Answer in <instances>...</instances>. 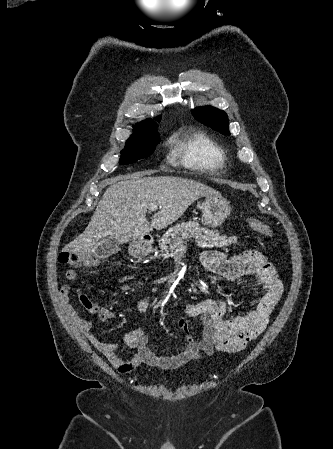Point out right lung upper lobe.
I'll list each match as a JSON object with an SVG mask.
<instances>
[{
    "label": "right lung upper lobe",
    "mask_w": 333,
    "mask_h": 449,
    "mask_svg": "<svg viewBox=\"0 0 333 449\" xmlns=\"http://www.w3.org/2000/svg\"><path fill=\"white\" fill-rule=\"evenodd\" d=\"M149 121H151V119H148V120H146V121H144L143 123H141V124H138L137 126H135L134 128V134L127 140V141H134V140H137V139H142V138H144L145 137V135L142 133V132H140V129L147 123V122H149ZM137 130H138V134L136 133L137 132Z\"/></svg>",
    "instance_id": "right-lung-upper-lobe-1"
}]
</instances>
